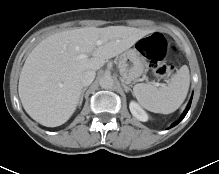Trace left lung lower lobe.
I'll use <instances>...</instances> for the list:
<instances>
[{"instance_id": "obj_1", "label": "left lung lower lobe", "mask_w": 219, "mask_h": 174, "mask_svg": "<svg viewBox=\"0 0 219 174\" xmlns=\"http://www.w3.org/2000/svg\"><path fill=\"white\" fill-rule=\"evenodd\" d=\"M190 105H191V100H190V102L188 103L187 108L185 109V111H184V113H183L181 119H180L179 121L173 123L170 128H172V127H174L175 125H177V124L182 120V118L185 117V115L187 114V112H188V110H189V108H190Z\"/></svg>"}]
</instances>
